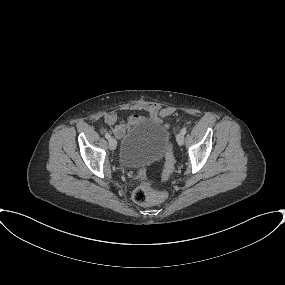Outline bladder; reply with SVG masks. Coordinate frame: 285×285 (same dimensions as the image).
I'll return each mask as SVG.
<instances>
[{"label": "bladder", "mask_w": 285, "mask_h": 285, "mask_svg": "<svg viewBox=\"0 0 285 285\" xmlns=\"http://www.w3.org/2000/svg\"><path fill=\"white\" fill-rule=\"evenodd\" d=\"M170 141L169 131L159 123L142 120L122 138L119 160L128 168H141L159 160Z\"/></svg>", "instance_id": "obj_1"}]
</instances>
